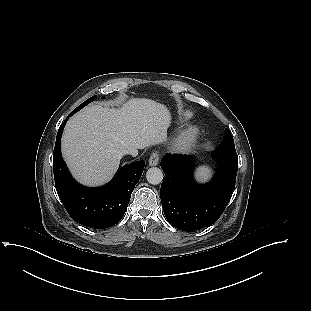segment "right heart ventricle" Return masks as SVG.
<instances>
[{
  "instance_id": "right-heart-ventricle-1",
  "label": "right heart ventricle",
  "mask_w": 311,
  "mask_h": 311,
  "mask_svg": "<svg viewBox=\"0 0 311 311\" xmlns=\"http://www.w3.org/2000/svg\"><path fill=\"white\" fill-rule=\"evenodd\" d=\"M184 118H189L191 116L190 112H184L183 113Z\"/></svg>"
}]
</instances>
